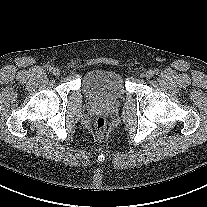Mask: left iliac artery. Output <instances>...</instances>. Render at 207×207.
<instances>
[{
    "label": "left iliac artery",
    "mask_w": 207,
    "mask_h": 207,
    "mask_svg": "<svg viewBox=\"0 0 207 207\" xmlns=\"http://www.w3.org/2000/svg\"><path fill=\"white\" fill-rule=\"evenodd\" d=\"M153 74L158 75L159 74V70L158 69H154Z\"/></svg>",
    "instance_id": "1"
}]
</instances>
